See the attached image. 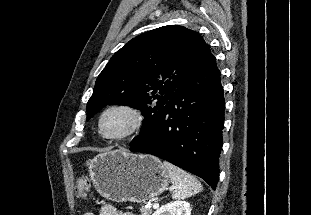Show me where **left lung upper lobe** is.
I'll return each instance as SVG.
<instances>
[{
    "instance_id": "5c2ea615",
    "label": "left lung upper lobe",
    "mask_w": 311,
    "mask_h": 215,
    "mask_svg": "<svg viewBox=\"0 0 311 215\" xmlns=\"http://www.w3.org/2000/svg\"><path fill=\"white\" fill-rule=\"evenodd\" d=\"M205 41L196 31L163 26L133 38L99 74L87 103V119L106 105L142 110L138 142L198 59Z\"/></svg>"
}]
</instances>
